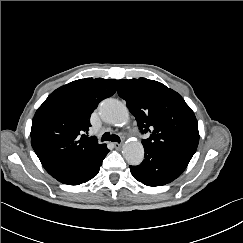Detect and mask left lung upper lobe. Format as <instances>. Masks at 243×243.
Listing matches in <instances>:
<instances>
[{
  "instance_id": "5c2ea615",
  "label": "left lung upper lobe",
  "mask_w": 243,
  "mask_h": 243,
  "mask_svg": "<svg viewBox=\"0 0 243 243\" xmlns=\"http://www.w3.org/2000/svg\"><path fill=\"white\" fill-rule=\"evenodd\" d=\"M118 94L135 116L143 146L195 153L199 132L194 112L164 84L146 78L119 80Z\"/></svg>"
}]
</instances>
